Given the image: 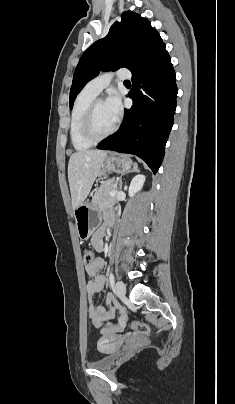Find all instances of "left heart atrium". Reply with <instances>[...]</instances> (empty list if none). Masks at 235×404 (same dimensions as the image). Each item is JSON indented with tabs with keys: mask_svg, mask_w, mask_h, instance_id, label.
Segmentation results:
<instances>
[{
	"mask_svg": "<svg viewBox=\"0 0 235 404\" xmlns=\"http://www.w3.org/2000/svg\"><path fill=\"white\" fill-rule=\"evenodd\" d=\"M105 106L111 117L117 121L122 114V102L117 93H111L105 101Z\"/></svg>",
	"mask_w": 235,
	"mask_h": 404,
	"instance_id": "1",
	"label": "left heart atrium"
}]
</instances>
